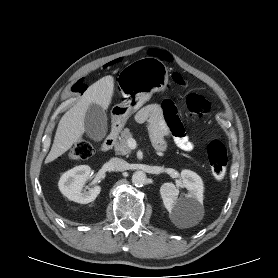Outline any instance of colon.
Here are the masks:
<instances>
[{"label":"colon","instance_id":"obj_1","mask_svg":"<svg viewBox=\"0 0 278 278\" xmlns=\"http://www.w3.org/2000/svg\"><path fill=\"white\" fill-rule=\"evenodd\" d=\"M173 80L178 85L184 86L185 79L179 73L173 74ZM86 84L80 80L73 87V92L82 93L86 89ZM186 105L190 113L194 116H204L210 111V103L201 95L190 93L186 97ZM71 157L74 159L84 160L93 154V146L87 140L78 141L71 150ZM207 156L215 179L222 180L226 174L227 168V151L225 145L217 139L212 140L207 146Z\"/></svg>","mask_w":278,"mask_h":278}]
</instances>
